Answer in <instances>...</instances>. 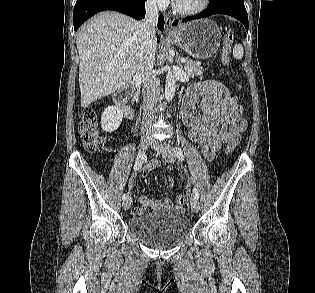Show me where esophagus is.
Returning a JSON list of instances; mask_svg holds the SVG:
<instances>
[{
	"mask_svg": "<svg viewBox=\"0 0 315 293\" xmlns=\"http://www.w3.org/2000/svg\"><path fill=\"white\" fill-rule=\"evenodd\" d=\"M172 21L169 17H165V25H164V31L165 33H172L173 32V29H172Z\"/></svg>",
	"mask_w": 315,
	"mask_h": 293,
	"instance_id": "obj_1",
	"label": "esophagus"
}]
</instances>
